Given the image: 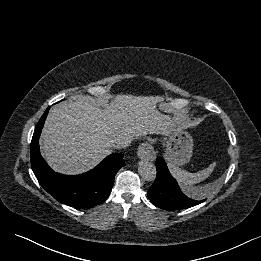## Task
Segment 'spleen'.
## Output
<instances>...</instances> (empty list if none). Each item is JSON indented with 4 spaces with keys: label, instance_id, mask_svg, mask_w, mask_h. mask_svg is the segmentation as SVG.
I'll return each mask as SVG.
<instances>
[{
    "label": "spleen",
    "instance_id": "3e777b00",
    "mask_svg": "<svg viewBox=\"0 0 261 261\" xmlns=\"http://www.w3.org/2000/svg\"><path fill=\"white\" fill-rule=\"evenodd\" d=\"M215 166L216 162H213L206 169H203L200 172L190 173L188 171L182 170L173 163H168V168L171 174L180 185H193L195 183L203 181L212 173Z\"/></svg>",
    "mask_w": 261,
    "mask_h": 261
}]
</instances>
